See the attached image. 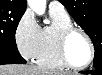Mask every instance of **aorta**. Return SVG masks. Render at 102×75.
<instances>
[{"instance_id": "aorta-1", "label": "aorta", "mask_w": 102, "mask_h": 75, "mask_svg": "<svg viewBox=\"0 0 102 75\" xmlns=\"http://www.w3.org/2000/svg\"><path fill=\"white\" fill-rule=\"evenodd\" d=\"M29 7L38 15L45 12L46 0H28Z\"/></svg>"}]
</instances>
